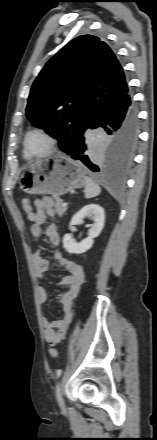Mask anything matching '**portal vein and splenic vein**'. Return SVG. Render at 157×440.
I'll return each instance as SVG.
<instances>
[{
	"label": "portal vein and splenic vein",
	"mask_w": 157,
	"mask_h": 440,
	"mask_svg": "<svg viewBox=\"0 0 157 440\" xmlns=\"http://www.w3.org/2000/svg\"><path fill=\"white\" fill-rule=\"evenodd\" d=\"M63 206H67V203H63Z\"/></svg>",
	"instance_id": "18ae733b"
}]
</instances>
